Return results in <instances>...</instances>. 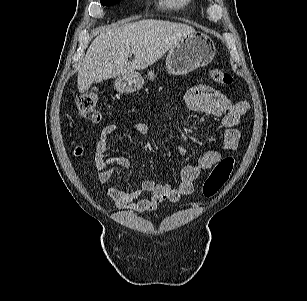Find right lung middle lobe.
<instances>
[{"label": "right lung middle lobe", "instance_id": "1", "mask_svg": "<svg viewBox=\"0 0 307 301\" xmlns=\"http://www.w3.org/2000/svg\"><path fill=\"white\" fill-rule=\"evenodd\" d=\"M120 0H100L101 4L104 6H111L118 3Z\"/></svg>", "mask_w": 307, "mask_h": 301}]
</instances>
